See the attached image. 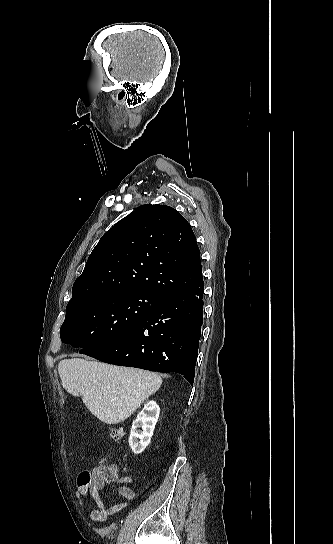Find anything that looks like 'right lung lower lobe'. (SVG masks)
<instances>
[{
    "label": "right lung lower lobe",
    "mask_w": 333,
    "mask_h": 544,
    "mask_svg": "<svg viewBox=\"0 0 333 544\" xmlns=\"http://www.w3.org/2000/svg\"><path fill=\"white\" fill-rule=\"evenodd\" d=\"M203 279L163 298L131 330L84 354L100 361L158 372H178L193 385L203 319Z\"/></svg>",
    "instance_id": "right-lung-lower-lobe-1"
}]
</instances>
